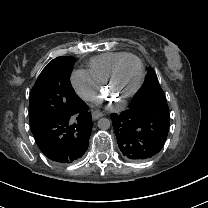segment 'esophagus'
I'll return each instance as SVG.
<instances>
[{
	"label": "esophagus",
	"instance_id": "34e87169",
	"mask_svg": "<svg viewBox=\"0 0 208 208\" xmlns=\"http://www.w3.org/2000/svg\"><path fill=\"white\" fill-rule=\"evenodd\" d=\"M102 116H103V114L101 112H99V111L92 112V119L93 120L99 119Z\"/></svg>",
	"mask_w": 208,
	"mask_h": 208
}]
</instances>
